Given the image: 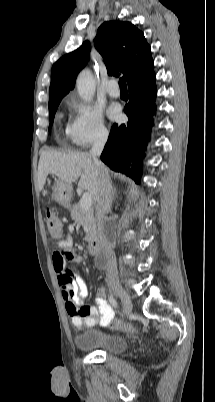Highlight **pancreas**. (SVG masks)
Here are the masks:
<instances>
[{"label":"pancreas","instance_id":"pancreas-1","mask_svg":"<svg viewBox=\"0 0 215 402\" xmlns=\"http://www.w3.org/2000/svg\"><path fill=\"white\" fill-rule=\"evenodd\" d=\"M71 218L83 226L86 232L85 241H91L95 237L97 230L93 209L83 210L80 204H74L71 208Z\"/></svg>","mask_w":215,"mask_h":402}]
</instances>
